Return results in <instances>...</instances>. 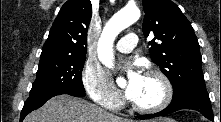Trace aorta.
Returning <instances> with one entry per match:
<instances>
[{
	"label": "aorta",
	"mask_w": 221,
	"mask_h": 122,
	"mask_svg": "<svg viewBox=\"0 0 221 122\" xmlns=\"http://www.w3.org/2000/svg\"><path fill=\"white\" fill-rule=\"evenodd\" d=\"M140 17V10L136 6H126L108 21L98 42L99 60L107 67H113V42L116 36L125 28L136 22ZM122 78L117 82L121 83Z\"/></svg>",
	"instance_id": "obj_1"
}]
</instances>
